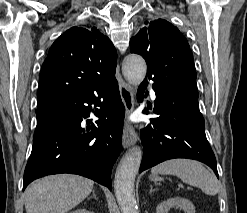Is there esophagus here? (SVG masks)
Masks as SVG:
<instances>
[{
    "instance_id": "34e87169",
    "label": "esophagus",
    "mask_w": 247,
    "mask_h": 213,
    "mask_svg": "<svg viewBox=\"0 0 247 213\" xmlns=\"http://www.w3.org/2000/svg\"><path fill=\"white\" fill-rule=\"evenodd\" d=\"M119 91L126 109V115L129 116L134 109V89L126 82L120 81ZM137 139L138 136L133 126L129 123H126L122 138L123 147L128 148L131 145H134L137 142Z\"/></svg>"
}]
</instances>
